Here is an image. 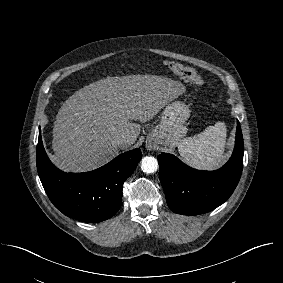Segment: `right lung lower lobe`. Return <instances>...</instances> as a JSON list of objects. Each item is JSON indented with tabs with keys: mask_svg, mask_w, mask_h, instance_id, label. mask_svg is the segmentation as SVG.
Wrapping results in <instances>:
<instances>
[{
	"mask_svg": "<svg viewBox=\"0 0 283 283\" xmlns=\"http://www.w3.org/2000/svg\"><path fill=\"white\" fill-rule=\"evenodd\" d=\"M141 157L140 149H134L94 171L65 173L49 160L41 130L36 150L38 174L51 202L66 216L84 222H101L115 215L122 203L123 183Z\"/></svg>",
	"mask_w": 283,
	"mask_h": 283,
	"instance_id": "right-lung-lower-lobe-1",
	"label": "right lung lower lobe"
}]
</instances>
